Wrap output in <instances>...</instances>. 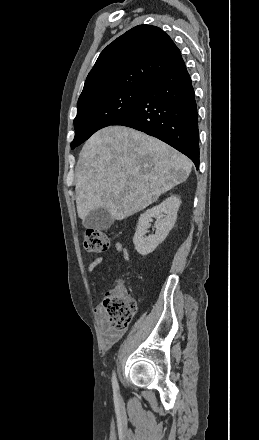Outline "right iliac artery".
<instances>
[{"instance_id":"1","label":"right iliac artery","mask_w":259,"mask_h":440,"mask_svg":"<svg viewBox=\"0 0 259 440\" xmlns=\"http://www.w3.org/2000/svg\"><path fill=\"white\" fill-rule=\"evenodd\" d=\"M112 386H113L114 391L118 390V383H117L115 372L113 373V376H112Z\"/></svg>"}]
</instances>
